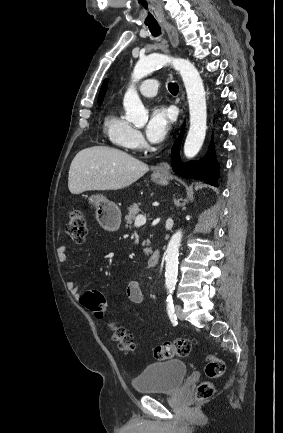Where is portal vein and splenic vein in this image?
I'll return each mask as SVG.
<instances>
[{
	"instance_id": "obj_1",
	"label": "portal vein and splenic vein",
	"mask_w": 283,
	"mask_h": 433,
	"mask_svg": "<svg viewBox=\"0 0 283 433\" xmlns=\"http://www.w3.org/2000/svg\"><path fill=\"white\" fill-rule=\"evenodd\" d=\"M143 223H146V217H144V214H138V217L135 219V225H143Z\"/></svg>"
}]
</instances>
